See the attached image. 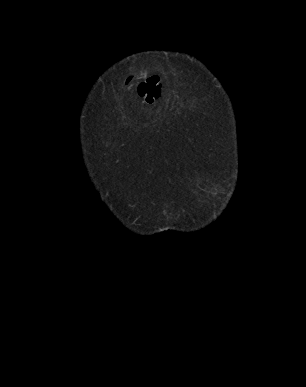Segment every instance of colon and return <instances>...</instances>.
Listing matches in <instances>:
<instances>
[{
    "instance_id": "colon-1",
    "label": "colon",
    "mask_w": 306,
    "mask_h": 387,
    "mask_svg": "<svg viewBox=\"0 0 306 387\" xmlns=\"http://www.w3.org/2000/svg\"><path fill=\"white\" fill-rule=\"evenodd\" d=\"M162 93L160 81L154 77H149L140 84V95L147 103L156 102Z\"/></svg>"
}]
</instances>
